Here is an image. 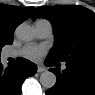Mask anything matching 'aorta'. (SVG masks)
Returning <instances> with one entry per match:
<instances>
[{"mask_svg": "<svg viewBox=\"0 0 95 95\" xmlns=\"http://www.w3.org/2000/svg\"><path fill=\"white\" fill-rule=\"evenodd\" d=\"M15 34L22 41H31L35 37L33 28L27 24L19 25L15 30ZM40 83L46 89L54 87L56 84L55 74L50 71H44L40 75Z\"/></svg>", "mask_w": 95, "mask_h": 95, "instance_id": "aorta-1", "label": "aorta"}]
</instances>
